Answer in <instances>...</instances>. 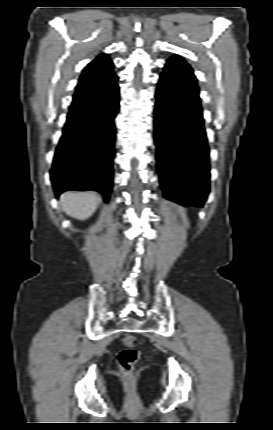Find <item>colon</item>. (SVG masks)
<instances>
[{
  "instance_id": "1",
  "label": "colon",
  "mask_w": 273,
  "mask_h": 430,
  "mask_svg": "<svg viewBox=\"0 0 273 430\" xmlns=\"http://www.w3.org/2000/svg\"><path fill=\"white\" fill-rule=\"evenodd\" d=\"M138 338L132 334H127L123 338L125 348L117 357L118 366L122 376L131 381L134 376V368L140 358V351L137 349Z\"/></svg>"
}]
</instances>
